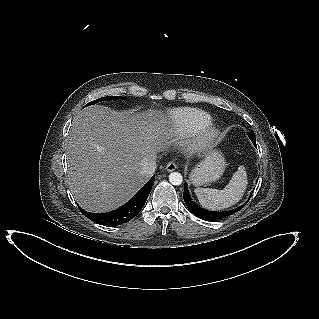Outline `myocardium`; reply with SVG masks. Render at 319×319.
I'll return each mask as SVG.
<instances>
[{"instance_id": "f54148a6", "label": "myocardium", "mask_w": 319, "mask_h": 319, "mask_svg": "<svg viewBox=\"0 0 319 319\" xmlns=\"http://www.w3.org/2000/svg\"><path fill=\"white\" fill-rule=\"evenodd\" d=\"M218 136V128L210 123L193 134L188 148L194 153L202 152L207 150Z\"/></svg>"}]
</instances>
